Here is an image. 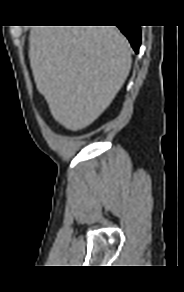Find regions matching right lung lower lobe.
I'll list each match as a JSON object with an SVG mask.
<instances>
[{
    "label": "right lung lower lobe",
    "instance_id": "98d812e1",
    "mask_svg": "<svg viewBox=\"0 0 184 292\" xmlns=\"http://www.w3.org/2000/svg\"><path fill=\"white\" fill-rule=\"evenodd\" d=\"M121 32L128 38L131 46L135 50L136 53L139 51L140 43H141V31L139 26H118Z\"/></svg>",
    "mask_w": 184,
    "mask_h": 292
}]
</instances>
